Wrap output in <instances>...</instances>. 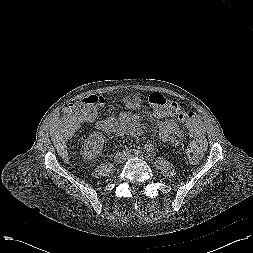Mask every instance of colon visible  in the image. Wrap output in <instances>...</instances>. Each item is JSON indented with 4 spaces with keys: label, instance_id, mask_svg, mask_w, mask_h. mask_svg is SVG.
Wrapping results in <instances>:
<instances>
[{
    "label": "colon",
    "instance_id": "colon-1",
    "mask_svg": "<svg viewBox=\"0 0 253 253\" xmlns=\"http://www.w3.org/2000/svg\"><path fill=\"white\" fill-rule=\"evenodd\" d=\"M148 101L156 114L178 117L186 124L192 136V140L186 146V154L190 161H198L202 157L207 145L199 116L194 112L181 110L176 102L164 97L160 93H152ZM104 104L105 98L98 95H89L70 104L61 115V130L67 135L73 134L81 123L94 119L98 109Z\"/></svg>",
    "mask_w": 253,
    "mask_h": 253
}]
</instances>
